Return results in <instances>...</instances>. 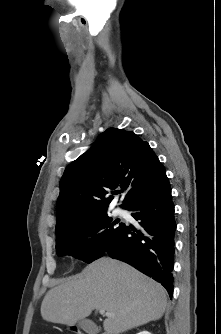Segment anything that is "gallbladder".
Segmentation results:
<instances>
[{"label":"gallbladder","instance_id":"1","mask_svg":"<svg viewBox=\"0 0 221 334\" xmlns=\"http://www.w3.org/2000/svg\"><path fill=\"white\" fill-rule=\"evenodd\" d=\"M79 327L89 334H96L98 332V327L88 319H81L78 322Z\"/></svg>","mask_w":221,"mask_h":334}]
</instances>
